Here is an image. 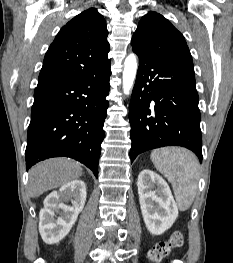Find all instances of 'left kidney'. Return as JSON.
<instances>
[{
    "label": "left kidney",
    "instance_id": "1",
    "mask_svg": "<svg viewBox=\"0 0 233 263\" xmlns=\"http://www.w3.org/2000/svg\"><path fill=\"white\" fill-rule=\"evenodd\" d=\"M137 186L148 231L153 235L163 234L178 217V207L167 182L154 171L144 169L138 176Z\"/></svg>",
    "mask_w": 233,
    "mask_h": 263
}]
</instances>
